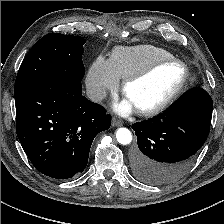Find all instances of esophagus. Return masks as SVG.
Masks as SVG:
<instances>
[{
  "instance_id": "34e87169",
  "label": "esophagus",
  "mask_w": 224,
  "mask_h": 224,
  "mask_svg": "<svg viewBox=\"0 0 224 224\" xmlns=\"http://www.w3.org/2000/svg\"><path fill=\"white\" fill-rule=\"evenodd\" d=\"M122 125V122L120 121V120H118V119H116V118H113L112 119V126L113 127H119V126H121Z\"/></svg>"
}]
</instances>
